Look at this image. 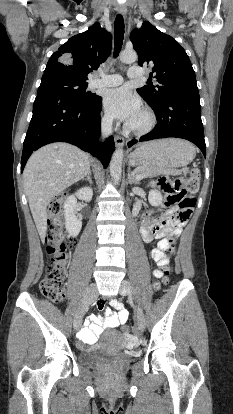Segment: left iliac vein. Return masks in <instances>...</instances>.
Returning a JSON list of instances; mask_svg holds the SVG:
<instances>
[{"label":"left iliac vein","instance_id":"left-iliac-vein-1","mask_svg":"<svg viewBox=\"0 0 233 414\" xmlns=\"http://www.w3.org/2000/svg\"><path fill=\"white\" fill-rule=\"evenodd\" d=\"M120 294L123 296L132 295V285L129 281H123L120 286ZM136 322L139 331H144L145 329V317L142 309L137 307L136 309Z\"/></svg>","mask_w":233,"mask_h":414}]
</instances>
